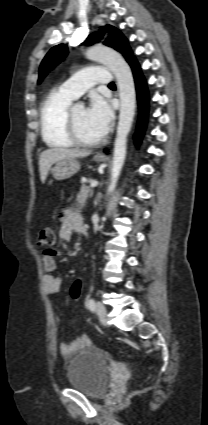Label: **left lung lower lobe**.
Here are the masks:
<instances>
[{"mask_svg":"<svg viewBox=\"0 0 208 425\" xmlns=\"http://www.w3.org/2000/svg\"><path fill=\"white\" fill-rule=\"evenodd\" d=\"M130 66L132 68L136 90H137V98L139 104V120L137 124V131L135 133L134 139L136 144H139L143 132L145 130L146 121H147V113H148V91L146 87V83L144 77L141 73L140 66L136 59L130 62Z\"/></svg>","mask_w":208,"mask_h":425,"instance_id":"1","label":"left lung lower lobe"}]
</instances>
